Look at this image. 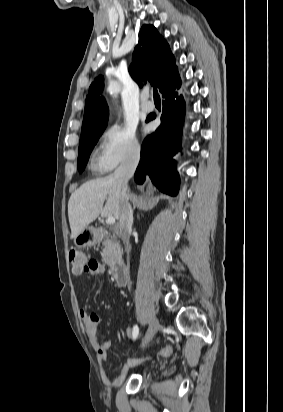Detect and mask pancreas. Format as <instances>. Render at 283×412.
I'll use <instances>...</instances> for the list:
<instances>
[{
	"instance_id": "pancreas-1",
	"label": "pancreas",
	"mask_w": 283,
	"mask_h": 412,
	"mask_svg": "<svg viewBox=\"0 0 283 412\" xmlns=\"http://www.w3.org/2000/svg\"><path fill=\"white\" fill-rule=\"evenodd\" d=\"M99 240L102 241L104 247L102 252L103 261L110 266L114 265L121 255L119 243L104 234L100 235Z\"/></svg>"
}]
</instances>
